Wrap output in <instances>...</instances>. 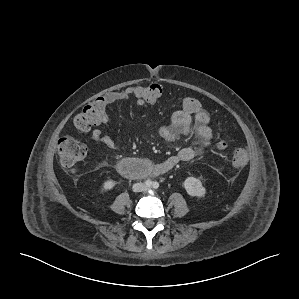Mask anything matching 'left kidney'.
<instances>
[{
	"label": "left kidney",
	"mask_w": 299,
	"mask_h": 299,
	"mask_svg": "<svg viewBox=\"0 0 299 299\" xmlns=\"http://www.w3.org/2000/svg\"><path fill=\"white\" fill-rule=\"evenodd\" d=\"M183 186L190 196L203 197L206 194V189L203 187L201 180L195 177H187Z\"/></svg>",
	"instance_id": "1"
}]
</instances>
